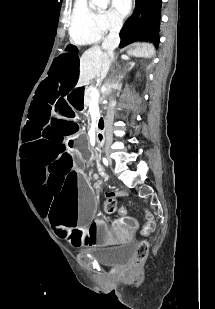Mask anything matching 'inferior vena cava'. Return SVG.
Returning a JSON list of instances; mask_svg holds the SVG:
<instances>
[{
    "instance_id": "inferior-vena-cava-1",
    "label": "inferior vena cava",
    "mask_w": 215,
    "mask_h": 309,
    "mask_svg": "<svg viewBox=\"0 0 215 309\" xmlns=\"http://www.w3.org/2000/svg\"><path fill=\"white\" fill-rule=\"evenodd\" d=\"M122 26H123V18H121V16H118V18H112L110 32L108 36H106L105 40H103L102 42V48H104V50H107L110 56V60H113L114 58L113 50L114 48H117L120 42L119 32ZM112 88H115V86H113V84H110V82H107L106 94H110ZM114 106H116V102L110 96L108 102L107 114L105 118L106 144H111L113 140L112 124L114 120Z\"/></svg>"
}]
</instances>
